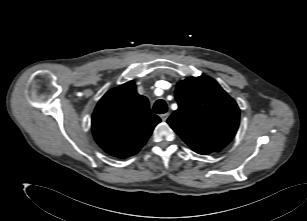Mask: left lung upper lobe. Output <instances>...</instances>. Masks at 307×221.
Segmentation results:
<instances>
[{
    "mask_svg": "<svg viewBox=\"0 0 307 221\" xmlns=\"http://www.w3.org/2000/svg\"><path fill=\"white\" fill-rule=\"evenodd\" d=\"M179 108L167 122L199 154L222 150L235 136L240 110L212 78L190 77L175 90Z\"/></svg>",
    "mask_w": 307,
    "mask_h": 221,
    "instance_id": "left-lung-upper-lobe-1",
    "label": "left lung upper lobe"
}]
</instances>
